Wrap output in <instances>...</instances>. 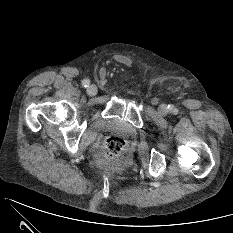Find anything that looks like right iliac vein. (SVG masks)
I'll list each match as a JSON object with an SVG mask.
<instances>
[{
  "label": "right iliac vein",
  "mask_w": 233,
  "mask_h": 233,
  "mask_svg": "<svg viewBox=\"0 0 233 233\" xmlns=\"http://www.w3.org/2000/svg\"><path fill=\"white\" fill-rule=\"evenodd\" d=\"M86 91H87L88 95L94 96L97 94V87L95 85H90V86H88Z\"/></svg>",
  "instance_id": "1"
}]
</instances>
